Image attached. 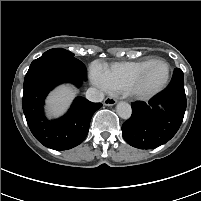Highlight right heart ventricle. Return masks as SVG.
Instances as JSON below:
<instances>
[{"label":"right heart ventricle","mask_w":201,"mask_h":201,"mask_svg":"<svg viewBox=\"0 0 201 201\" xmlns=\"http://www.w3.org/2000/svg\"><path fill=\"white\" fill-rule=\"evenodd\" d=\"M153 58H147L139 61L118 62L104 67L103 71L110 90L113 92L125 91L135 76L148 64Z\"/></svg>","instance_id":"obj_1"}]
</instances>
